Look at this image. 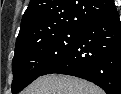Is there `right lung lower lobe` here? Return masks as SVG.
Returning <instances> with one entry per match:
<instances>
[{
    "label": "right lung lower lobe",
    "instance_id": "98d812e1",
    "mask_svg": "<svg viewBox=\"0 0 121 94\" xmlns=\"http://www.w3.org/2000/svg\"><path fill=\"white\" fill-rule=\"evenodd\" d=\"M86 79L107 94H121V23L116 7L84 23L73 48L41 76Z\"/></svg>",
    "mask_w": 121,
    "mask_h": 94
}]
</instances>
